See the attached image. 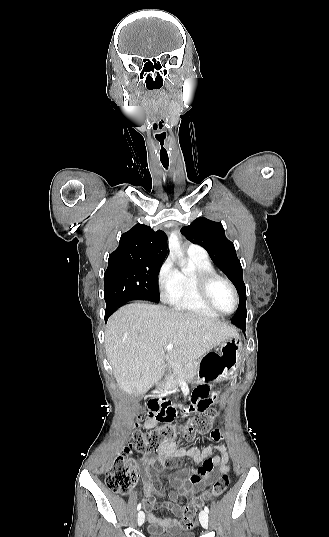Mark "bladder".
<instances>
[{
	"label": "bladder",
	"mask_w": 329,
	"mask_h": 537,
	"mask_svg": "<svg viewBox=\"0 0 329 537\" xmlns=\"http://www.w3.org/2000/svg\"><path fill=\"white\" fill-rule=\"evenodd\" d=\"M148 537H195L191 531H165L150 533Z\"/></svg>",
	"instance_id": "obj_1"
}]
</instances>
